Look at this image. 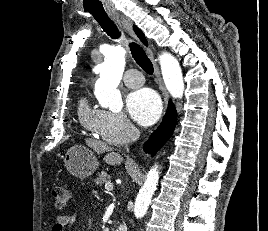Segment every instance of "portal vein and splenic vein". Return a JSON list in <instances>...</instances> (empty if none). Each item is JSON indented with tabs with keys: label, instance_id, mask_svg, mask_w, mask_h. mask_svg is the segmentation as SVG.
I'll use <instances>...</instances> for the list:
<instances>
[{
	"label": "portal vein and splenic vein",
	"instance_id": "18ae733b",
	"mask_svg": "<svg viewBox=\"0 0 268 231\" xmlns=\"http://www.w3.org/2000/svg\"><path fill=\"white\" fill-rule=\"evenodd\" d=\"M105 190H107V191H112L113 190V183H111V182H106L105 183Z\"/></svg>",
	"mask_w": 268,
	"mask_h": 231
}]
</instances>
